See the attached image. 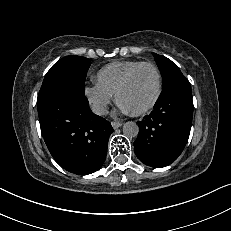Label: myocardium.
I'll use <instances>...</instances> for the list:
<instances>
[{
	"instance_id": "myocardium-1",
	"label": "myocardium",
	"mask_w": 231,
	"mask_h": 231,
	"mask_svg": "<svg viewBox=\"0 0 231 231\" xmlns=\"http://www.w3.org/2000/svg\"><path fill=\"white\" fill-rule=\"evenodd\" d=\"M143 67H149V68L153 69V71L155 72V75H156V92H155L153 99L151 100V102L147 106H145L144 108H142L138 111L130 112L132 115H135V116H140V115L146 114L149 111H151L156 106L157 102L160 99V96L162 93V88H163V80H162V75H161V72H160V69L158 68V66L152 62H141L140 64H138L137 66H135L133 69H131L129 71V73L125 76V78L120 83V85L118 86V88L115 92V100L119 104V98H120L121 93L128 87V85L132 81L134 75Z\"/></svg>"
}]
</instances>
